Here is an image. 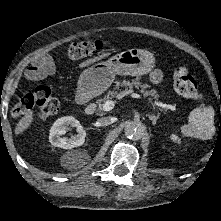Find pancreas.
Masks as SVG:
<instances>
[{
  "label": "pancreas",
  "mask_w": 221,
  "mask_h": 221,
  "mask_svg": "<svg viewBox=\"0 0 221 221\" xmlns=\"http://www.w3.org/2000/svg\"><path fill=\"white\" fill-rule=\"evenodd\" d=\"M140 88V92L144 95V96H150L151 99L154 100H158L160 98V95L156 93L155 90H147V85L146 84H142L139 81V78L133 79L131 82L130 81H117L116 85L114 87V90L109 91L107 93V95L103 96V98L98 99L97 103H98V107L96 109V113L98 115L103 114V104L106 101L111 100L112 98H122L123 96L131 93L133 91V88ZM120 88H124V89H120ZM120 89V91H118Z\"/></svg>",
  "instance_id": "1"
}]
</instances>
